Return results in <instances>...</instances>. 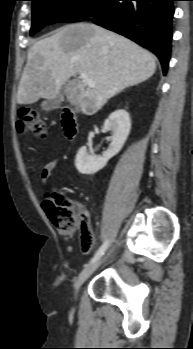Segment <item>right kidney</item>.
<instances>
[{
  "mask_svg": "<svg viewBox=\"0 0 193 349\" xmlns=\"http://www.w3.org/2000/svg\"><path fill=\"white\" fill-rule=\"evenodd\" d=\"M131 130L130 115L124 109L114 111L104 123V131H111L109 148L102 156L90 155L86 146L79 149L75 167L81 174H94L104 168L107 162L122 149Z\"/></svg>",
  "mask_w": 193,
  "mask_h": 349,
  "instance_id": "obj_1",
  "label": "right kidney"
}]
</instances>
